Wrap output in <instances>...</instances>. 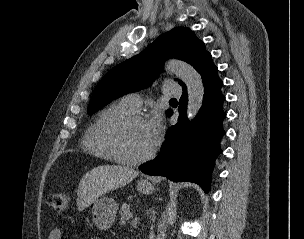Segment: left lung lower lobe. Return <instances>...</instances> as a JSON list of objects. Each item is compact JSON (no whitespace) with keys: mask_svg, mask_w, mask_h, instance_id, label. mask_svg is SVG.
I'll list each match as a JSON object with an SVG mask.
<instances>
[{"mask_svg":"<svg viewBox=\"0 0 304 239\" xmlns=\"http://www.w3.org/2000/svg\"><path fill=\"white\" fill-rule=\"evenodd\" d=\"M199 73L205 87L203 104L196 118L187 122V89L179 100L178 123L166 133L165 142L158 156L141 166L148 175L165 176L172 181H190L200 185L205 192L210 190L214 163L219 154L221 138L225 135L222 127L226 117L222 105L225 96L221 92L222 81L211 54L204 61ZM169 110L167 115H172Z\"/></svg>","mask_w":304,"mask_h":239,"instance_id":"0a47b994","label":"left lung lower lobe"}]
</instances>
